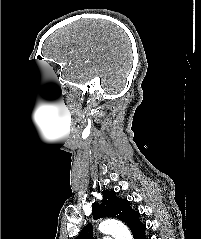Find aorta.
<instances>
[{"instance_id": "obj_1", "label": "aorta", "mask_w": 201, "mask_h": 239, "mask_svg": "<svg viewBox=\"0 0 201 239\" xmlns=\"http://www.w3.org/2000/svg\"><path fill=\"white\" fill-rule=\"evenodd\" d=\"M99 231L110 234L114 239H133L129 229L120 221L106 219L99 224Z\"/></svg>"}]
</instances>
